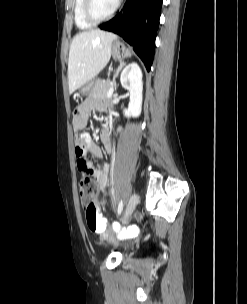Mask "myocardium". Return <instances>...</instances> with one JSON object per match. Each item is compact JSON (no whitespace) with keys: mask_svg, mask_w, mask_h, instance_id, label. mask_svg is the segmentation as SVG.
<instances>
[{"mask_svg":"<svg viewBox=\"0 0 247 304\" xmlns=\"http://www.w3.org/2000/svg\"><path fill=\"white\" fill-rule=\"evenodd\" d=\"M122 1L123 0L117 1L114 10L109 15L104 16V17H97L94 14V10H93L94 0H84V5H83L84 18L87 22H89L92 25H97L102 22L108 21V20L112 19L116 15V13L119 11Z\"/></svg>","mask_w":247,"mask_h":304,"instance_id":"myocardium-1","label":"myocardium"}]
</instances>
